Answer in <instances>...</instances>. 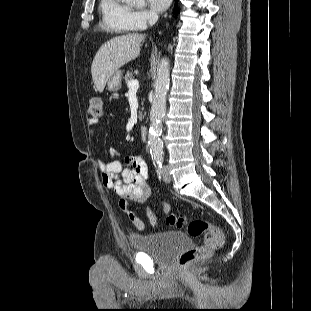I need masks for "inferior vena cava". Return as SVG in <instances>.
Listing matches in <instances>:
<instances>
[{
    "label": "inferior vena cava",
    "instance_id": "1",
    "mask_svg": "<svg viewBox=\"0 0 311 311\" xmlns=\"http://www.w3.org/2000/svg\"><path fill=\"white\" fill-rule=\"evenodd\" d=\"M158 20V16L155 13L149 14L148 23L150 26L154 25Z\"/></svg>",
    "mask_w": 311,
    "mask_h": 311
}]
</instances>
